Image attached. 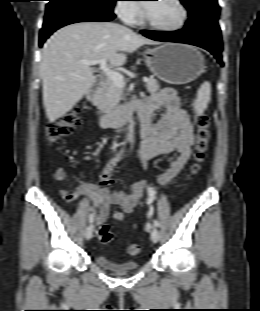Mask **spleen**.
<instances>
[{
  "mask_svg": "<svg viewBox=\"0 0 260 311\" xmlns=\"http://www.w3.org/2000/svg\"><path fill=\"white\" fill-rule=\"evenodd\" d=\"M211 96V84L205 81L201 84L197 92V98L194 102L196 112L201 115L207 109Z\"/></svg>",
  "mask_w": 260,
  "mask_h": 311,
  "instance_id": "spleen-1",
  "label": "spleen"
}]
</instances>
